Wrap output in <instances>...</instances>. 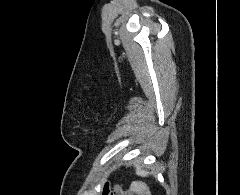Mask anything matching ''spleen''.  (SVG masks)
Segmentation results:
<instances>
[{"instance_id":"obj_1","label":"spleen","mask_w":240,"mask_h":195,"mask_svg":"<svg viewBox=\"0 0 240 195\" xmlns=\"http://www.w3.org/2000/svg\"><path fill=\"white\" fill-rule=\"evenodd\" d=\"M136 173H138V175H142V177H147V175H149V171H144V169H142V167H136Z\"/></svg>"}]
</instances>
